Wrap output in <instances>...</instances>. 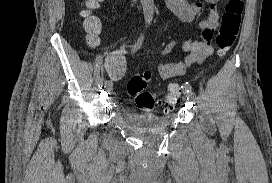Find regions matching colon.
Segmentation results:
<instances>
[{"label":"colon","mask_w":272,"mask_h":183,"mask_svg":"<svg viewBox=\"0 0 272 183\" xmlns=\"http://www.w3.org/2000/svg\"><path fill=\"white\" fill-rule=\"evenodd\" d=\"M101 1L102 0H87L86 9L84 10L85 27L89 34L91 44H95V35L100 31V22L91 14V10ZM243 8V0H228L225 6L221 25L215 37L218 55L221 57L226 55L237 38ZM150 77L148 72L137 74L129 80L127 86L128 92L134 98L137 106L144 111H152L156 105L154 95L147 90ZM179 100L180 90L175 86L171 88L165 98L158 103L163 112H170L178 104Z\"/></svg>","instance_id":"1"}]
</instances>
